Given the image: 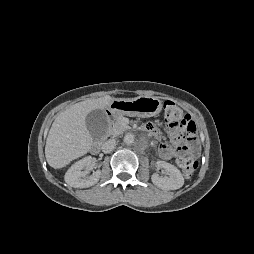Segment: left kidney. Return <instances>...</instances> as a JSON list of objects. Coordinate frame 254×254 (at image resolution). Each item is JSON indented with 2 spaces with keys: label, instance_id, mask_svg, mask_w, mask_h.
Returning a JSON list of instances; mask_svg holds the SVG:
<instances>
[{
  "label": "left kidney",
  "instance_id": "left-kidney-1",
  "mask_svg": "<svg viewBox=\"0 0 254 254\" xmlns=\"http://www.w3.org/2000/svg\"><path fill=\"white\" fill-rule=\"evenodd\" d=\"M156 166L163 168L168 175L164 177H161L156 173L152 175L151 180L158 188L163 190H176L183 186L184 178L177 167L165 161H157Z\"/></svg>",
  "mask_w": 254,
  "mask_h": 254
}]
</instances>
